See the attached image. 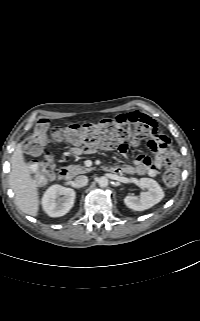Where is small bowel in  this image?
<instances>
[{
	"label": "small bowel",
	"mask_w": 200,
	"mask_h": 321,
	"mask_svg": "<svg viewBox=\"0 0 200 321\" xmlns=\"http://www.w3.org/2000/svg\"><path fill=\"white\" fill-rule=\"evenodd\" d=\"M129 120H141L149 124L152 130V136L147 141V146L153 152V156H147L144 154L138 155L134 159L133 165H121L116 166V172H121L129 175H148L154 177L158 174L160 168L165 164V152L169 146V139L165 135L158 131L155 121L145 114L139 112H129L122 114Z\"/></svg>",
	"instance_id": "small-bowel-1"
}]
</instances>
